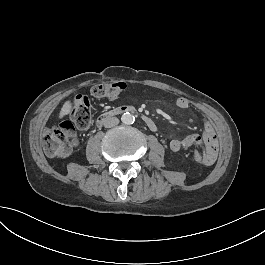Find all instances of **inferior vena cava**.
<instances>
[{
    "label": "inferior vena cava",
    "mask_w": 265,
    "mask_h": 265,
    "mask_svg": "<svg viewBox=\"0 0 265 265\" xmlns=\"http://www.w3.org/2000/svg\"><path fill=\"white\" fill-rule=\"evenodd\" d=\"M119 124V119L117 117H107L104 120V127L111 128Z\"/></svg>",
    "instance_id": "1"
}]
</instances>
